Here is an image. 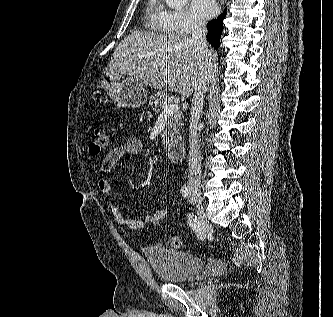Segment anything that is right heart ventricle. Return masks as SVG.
I'll return each mask as SVG.
<instances>
[{
	"mask_svg": "<svg viewBox=\"0 0 333 317\" xmlns=\"http://www.w3.org/2000/svg\"><path fill=\"white\" fill-rule=\"evenodd\" d=\"M163 13L164 9L162 8L159 0H148L145 11V19L147 27L150 30L156 32L166 31L162 22Z\"/></svg>",
	"mask_w": 333,
	"mask_h": 317,
	"instance_id": "obj_1",
	"label": "right heart ventricle"
}]
</instances>
